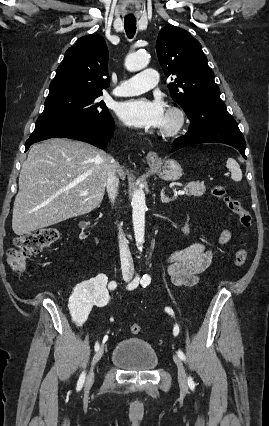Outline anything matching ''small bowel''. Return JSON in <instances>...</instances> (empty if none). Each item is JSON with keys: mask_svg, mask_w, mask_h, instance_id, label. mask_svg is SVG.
Returning a JSON list of instances; mask_svg holds the SVG:
<instances>
[{"mask_svg": "<svg viewBox=\"0 0 269 426\" xmlns=\"http://www.w3.org/2000/svg\"><path fill=\"white\" fill-rule=\"evenodd\" d=\"M230 236L228 230H223L219 235L218 242L225 244ZM168 262V272L173 284L182 288L192 287L196 284L199 274L210 266L212 252L203 243L196 242L173 251L169 255Z\"/></svg>", "mask_w": 269, "mask_h": 426, "instance_id": "small-bowel-1", "label": "small bowel"}]
</instances>
